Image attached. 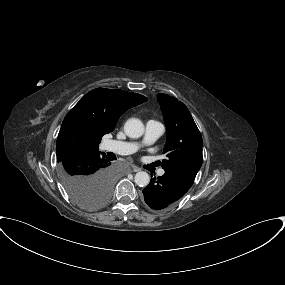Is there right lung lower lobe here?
Listing matches in <instances>:
<instances>
[{
    "instance_id": "98d812e1",
    "label": "right lung lower lobe",
    "mask_w": 285,
    "mask_h": 285,
    "mask_svg": "<svg viewBox=\"0 0 285 285\" xmlns=\"http://www.w3.org/2000/svg\"><path fill=\"white\" fill-rule=\"evenodd\" d=\"M64 163H71L81 176L113 175L111 167H109L110 159L106 157L105 153H100L98 150L79 154L70 160H65Z\"/></svg>"
}]
</instances>
